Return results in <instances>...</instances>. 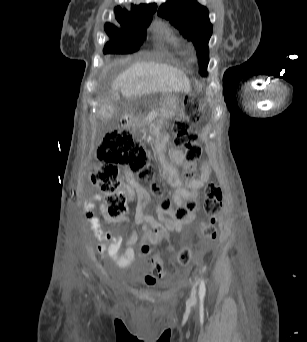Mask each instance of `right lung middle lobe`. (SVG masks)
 Segmentation results:
<instances>
[{"label":"right lung middle lobe","mask_w":307,"mask_h":342,"mask_svg":"<svg viewBox=\"0 0 307 342\" xmlns=\"http://www.w3.org/2000/svg\"><path fill=\"white\" fill-rule=\"evenodd\" d=\"M111 41L104 47V53H116L127 54L135 52L139 49L143 36H131V35H109Z\"/></svg>","instance_id":"1"}]
</instances>
